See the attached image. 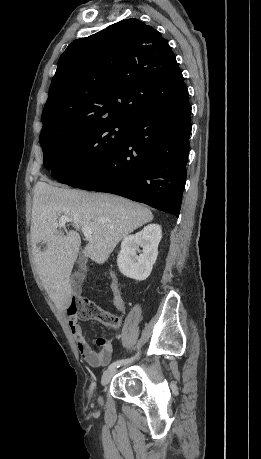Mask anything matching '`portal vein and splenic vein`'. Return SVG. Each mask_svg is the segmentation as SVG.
Listing matches in <instances>:
<instances>
[{"label": "portal vein and splenic vein", "instance_id": "1", "mask_svg": "<svg viewBox=\"0 0 261 459\" xmlns=\"http://www.w3.org/2000/svg\"><path fill=\"white\" fill-rule=\"evenodd\" d=\"M72 218H70L69 216H66V215H62L60 218H59V221L58 223L54 224V228H58V227H62L64 226L67 222H72ZM85 238L87 241H90L91 240V237H92V230L87 227V226H83L81 228Z\"/></svg>", "mask_w": 261, "mask_h": 459}]
</instances>
